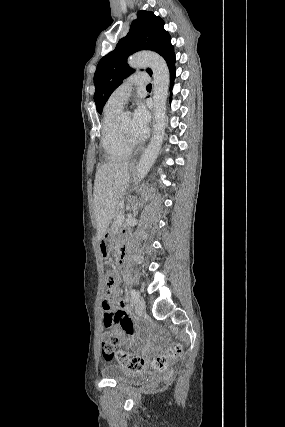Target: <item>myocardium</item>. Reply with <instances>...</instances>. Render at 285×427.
Instances as JSON below:
<instances>
[{
    "label": "myocardium",
    "instance_id": "myocardium-1",
    "mask_svg": "<svg viewBox=\"0 0 285 427\" xmlns=\"http://www.w3.org/2000/svg\"><path fill=\"white\" fill-rule=\"evenodd\" d=\"M117 126H118V130H119V132H120V134H121V136H122V138H123L124 142H125L127 145L131 146V147L135 146L137 143H136V141H135L134 139H132V138H131L127 133H126V131L124 130V128H123V126H122V123H121V117H119V118H118Z\"/></svg>",
    "mask_w": 285,
    "mask_h": 427
}]
</instances>
